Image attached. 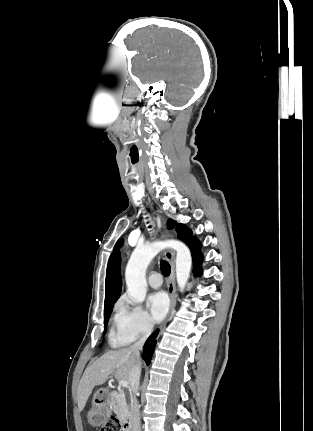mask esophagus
Masks as SVG:
<instances>
[{
	"instance_id": "1",
	"label": "esophagus",
	"mask_w": 313,
	"mask_h": 431,
	"mask_svg": "<svg viewBox=\"0 0 313 431\" xmlns=\"http://www.w3.org/2000/svg\"><path fill=\"white\" fill-rule=\"evenodd\" d=\"M150 201V200H149ZM168 236V232L164 231L162 232V237ZM165 257L169 261L171 266V273L168 280V292L170 295L171 305H170V311L169 314L165 320V322L161 326V330L165 327L167 322L169 321L171 315L173 314L176 306V287H175V252L171 249H167L165 251Z\"/></svg>"
}]
</instances>
